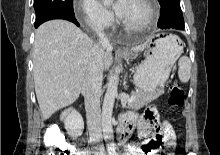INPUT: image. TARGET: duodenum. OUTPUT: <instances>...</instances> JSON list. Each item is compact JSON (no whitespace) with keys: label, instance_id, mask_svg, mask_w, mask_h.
Segmentation results:
<instances>
[{"label":"duodenum","instance_id":"duodenum-1","mask_svg":"<svg viewBox=\"0 0 220 155\" xmlns=\"http://www.w3.org/2000/svg\"><path fill=\"white\" fill-rule=\"evenodd\" d=\"M117 133L121 139L127 138L128 134H129V127L124 120L121 121V124L119 125V127L117 129Z\"/></svg>","mask_w":220,"mask_h":155}]
</instances>
